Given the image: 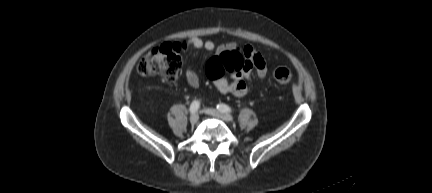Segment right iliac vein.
<instances>
[{
  "instance_id": "right-iliac-vein-1",
  "label": "right iliac vein",
  "mask_w": 432,
  "mask_h": 193,
  "mask_svg": "<svg viewBox=\"0 0 432 193\" xmlns=\"http://www.w3.org/2000/svg\"><path fill=\"white\" fill-rule=\"evenodd\" d=\"M199 120V115L197 113L191 114L189 121L191 124H196Z\"/></svg>"
}]
</instances>
